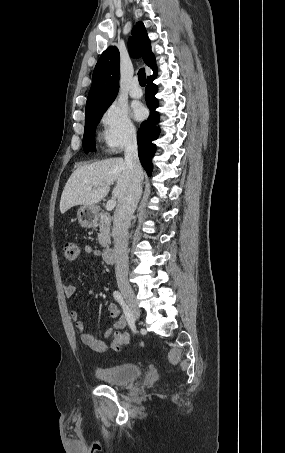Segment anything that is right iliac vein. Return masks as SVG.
<instances>
[{
    "label": "right iliac vein",
    "mask_w": 285,
    "mask_h": 453,
    "mask_svg": "<svg viewBox=\"0 0 285 453\" xmlns=\"http://www.w3.org/2000/svg\"><path fill=\"white\" fill-rule=\"evenodd\" d=\"M118 286L131 309L132 315L134 316V318L138 319L140 316V309L138 307L134 291L132 290L130 284L128 282L122 281L118 284Z\"/></svg>",
    "instance_id": "63e3f726"
}]
</instances>
